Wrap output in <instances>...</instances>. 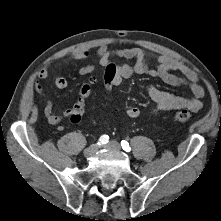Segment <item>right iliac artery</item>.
Returning <instances> with one entry per match:
<instances>
[{
    "mask_svg": "<svg viewBox=\"0 0 221 221\" xmlns=\"http://www.w3.org/2000/svg\"><path fill=\"white\" fill-rule=\"evenodd\" d=\"M108 140H109L108 135H102L99 138L97 145L102 146V145L106 144L108 142Z\"/></svg>",
    "mask_w": 221,
    "mask_h": 221,
    "instance_id": "1",
    "label": "right iliac artery"
}]
</instances>
